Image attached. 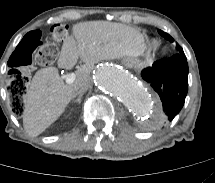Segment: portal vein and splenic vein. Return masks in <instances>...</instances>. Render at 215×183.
Wrapping results in <instances>:
<instances>
[{
	"label": "portal vein and splenic vein",
	"instance_id": "portal-vein-and-splenic-vein-1",
	"mask_svg": "<svg viewBox=\"0 0 215 183\" xmlns=\"http://www.w3.org/2000/svg\"><path fill=\"white\" fill-rule=\"evenodd\" d=\"M76 79V75L74 73H70L66 77V83L72 84Z\"/></svg>",
	"mask_w": 215,
	"mask_h": 183
}]
</instances>
